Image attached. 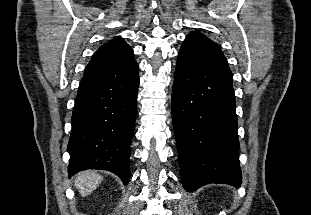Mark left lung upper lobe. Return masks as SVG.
Returning a JSON list of instances; mask_svg holds the SVG:
<instances>
[{
	"label": "left lung upper lobe",
	"mask_w": 311,
	"mask_h": 215,
	"mask_svg": "<svg viewBox=\"0 0 311 215\" xmlns=\"http://www.w3.org/2000/svg\"><path fill=\"white\" fill-rule=\"evenodd\" d=\"M189 35H202V34L198 31H194V32H191Z\"/></svg>",
	"instance_id": "5c2ea615"
}]
</instances>
